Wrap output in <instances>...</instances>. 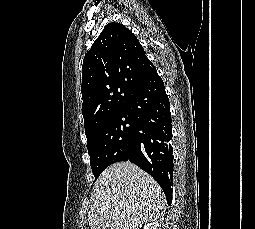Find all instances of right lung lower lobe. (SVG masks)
Returning <instances> with one entry per match:
<instances>
[{
  "label": "right lung lower lobe",
  "instance_id": "obj_1",
  "mask_svg": "<svg viewBox=\"0 0 255 229\" xmlns=\"http://www.w3.org/2000/svg\"><path fill=\"white\" fill-rule=\"evenodd\" d=\"M123 111L135 120L130 161L150 174L172 201V126L168 96L157 71L145 76Z\"/></svg>",
  "mask_w": 255,
  "mask_h": 229
}]
</instances>
